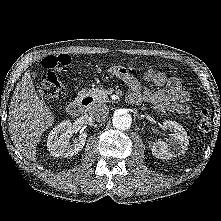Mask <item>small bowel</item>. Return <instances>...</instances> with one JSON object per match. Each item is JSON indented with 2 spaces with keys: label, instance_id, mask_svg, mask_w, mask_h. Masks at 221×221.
<instances>
[{
  "label": "small bowel",
  "instance_id": "1",
  "mask_svg": "<svg viewBox=\"0 0 221 221\" xmlns=\"http://www.w3.org/2000/svg\"><path fill=\"white\" fill-rule=\"evenodd\" d=\"M109 73L123 80L130 88L128 101L132 104H140L142 101L151 103L158 112L172 111L186 114L190 108L187 104L189 93L181 82L175 77H167L162 72H157L154 77L144 73V79L160 86L157 91L145 90L141 92L139 80L126 68L113 66Z\"/></svg>",
  "mask_w": 221,
  "mask_h": 221
}]
</instances>
